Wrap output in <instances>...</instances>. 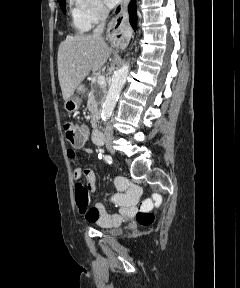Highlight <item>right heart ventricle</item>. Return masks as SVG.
<instances>
[{
    "mask_svg": "<svg viewBox=\"0 0 240 288\" xmlns=\"http://www.w3.org/2000/svg\"><path fill=\"white\" fill-rule=\"evenodd\" d=\"M73 22H74V25L81 31H85L88 29L87 26H85L84 24H82L76 17V13L75 11H73Z\"/></svg>",
    "mask_w": 240,
    "mask_h": 288,
    "instance_id": "right-heart-ventricle-1",
    "label": "right heart ventricle"
}]
</instances>
